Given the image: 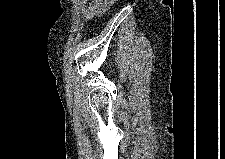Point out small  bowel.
<instances>
[{
    "mask_svg": "<svg viewBox=\"0 0 225 159\" xmlns=\"http://www.w3.org/2000/svg\"><path fill=\"white\" fill-rule=\"evenodd\" d=\"M110 0H96L91 2L80 1L79 9L86 18H93L101 15L109 6Z\"/></svg>",
    "mask_w": 225,
    "mask_h": 159,
    "instance_id": "obj_1",
    "label": "small bowel"
}]
</instances>
